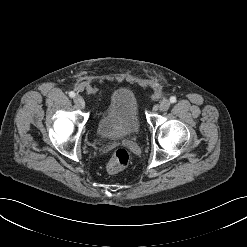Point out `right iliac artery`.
<instances>
[{"mask_svg":"<svg viewBox=\"0 0 247 247\" xmlns=\"http://www.w3.org/2000/svg\"><path fill=\"white\" fill-rule=\"evenodd\" d=\"M69 96L73 98V97H75V93L73 91H71V92H69Z\"/></svg>","mask_w":247,"mask_h":247,"instance_id":"1","label":"right iliac artery"}]
</instances>
